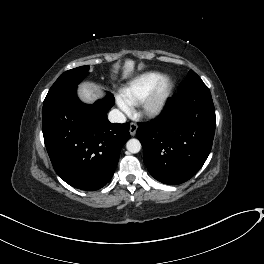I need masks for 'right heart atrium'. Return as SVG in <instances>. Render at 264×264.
<instances>
[{"instance_id": "right-heart-atrium-1", "label": "right heart atrium", "mask_w": 264, "mask_h": 264, "mask_svg": "<svg viewBox=\"0 0 264 264\" xmlns=\"http://www.w3.org/2000/svg\"><path fill=\"white\" fill-rule=\"evenodd\" d=\"M117 104L125 113H130L132 111V106L124 101L121 97H117Z\"/></svg>"}]
</instances>
